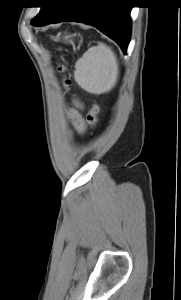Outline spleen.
Returning <instances> with one entry per match:
<instances>
[{"label": "spleen", "mask_w": 181, "mask_h": 300, "mask_svg": "<svg viewBox=\"0 0 181 300\" xmlns=\"http://www.w3.org/2000/svg\"><path fill=\"white\" fill-rule=\"evenodd\" d=\"M119 68L114 52L104 43L88 49L75 64L74 78L88 93L109 92L117 83Z\"/></svg>", "instance_id": "1"}]
</instances>
